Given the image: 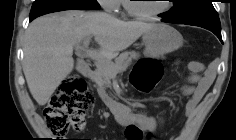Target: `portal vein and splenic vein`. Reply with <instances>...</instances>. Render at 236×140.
I'll return each instance as SVG.
<instances>
[{"label": "portal vein and splenic vein", "instance_id": "portal-vein-and-splenic-vein-1", "mask_svg": "<svg viewBox=\"0 0 236 140\" xmlns=\"http://www.w3.org/2000/svg\"><path fill=\"white\" fill-rule=\"evenodd\" d=\"M89 41H90V38L85 39L83 47H80L79 45H77V48L82 50L84 54L86 55V57H89L97 62L108 61V59L105 58L100 52L88 49Z\"/></svg>", "mask_w": 236, "mask_h": 140}]
</instances>
